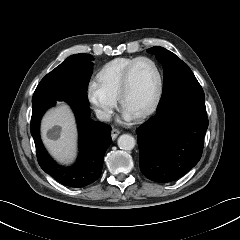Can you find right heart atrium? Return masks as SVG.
Segmentation results:
<instances>
[{
	"label": "right heart atrium",
	"mask_w": 240,
	"mask_h": 240,
	"mask_svg": "<svg viewBox=\"0 0 240 240\" xmlns=\"http://www.w3.org/2000/svg\"><path fill=\"white\" fill-rule=\"evenodd\" d=\"M87 97L95 112L101 119H108L116 106V99L107 95L97 83H90Z\"/></svg>",
	"instance_id": "d8ad5b80"
}]
</instances>
